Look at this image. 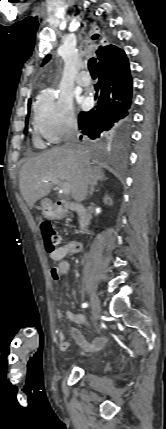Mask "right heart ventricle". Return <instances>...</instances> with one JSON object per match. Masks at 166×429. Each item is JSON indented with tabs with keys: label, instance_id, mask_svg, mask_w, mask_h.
Masks as SVG:
<instances>
[{
	"label": "right heart ventricle",
	"instance_id": "right-heart-ventricle-1",
	"mask_svg": "<svg viewBox=\"0 0 166 429\" xmlns=\"http://www.w3.org/2000/svg\"><path fill=\"white\" fill-rule=\"evenodd\" d=\"M36 143H37L38 145H41V142H40V141H38V140L36 141Z\"/></svg>",
	"mask_w": 166,
	"mask_h": 429
}]
</instances>
